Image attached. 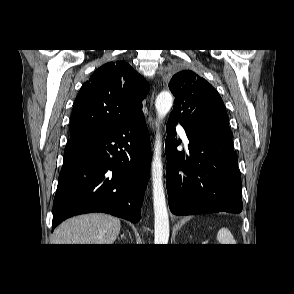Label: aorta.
<instances>
[{
  "mask_svg": "<svg viewBox=\"0 0 294 294\" xmlns=\"http://www.w3.org/2000/svg\"><path fill=\"white\" fill-rule=\"evenodd\" d=\"M173 105V97L170 92H161L155 100V108L158 119H163ZM162 143L158 134L155 141V149L151 162L153 206L155 214L154 243L166 245L169 240V217L163 187Z\"/></svg>",
  "mask_w": 294,
  "mask_h": 294,
  "instance_id": "aorta-1",
  "label": "aorta"
}]
</instances>
